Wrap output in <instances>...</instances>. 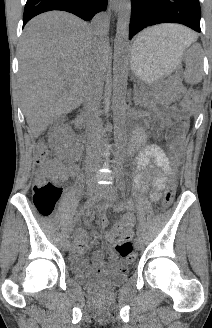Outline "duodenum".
I'll list each match as a JSON object with an SVG mask.
<instances>
[{
    "label": "duodenum",
    "instance_id": "duodenum-1",
    "mask_svg": "<svg viewBox=\"0 0 212 328\" xmlns=\"http://www.w3.org/2000/svg\"><path fill=\"white\" fill-rule=\"evenodd\" d=\"M142 140V135L141 134H137L134 138H133V144H138L140 143Z\"/></svg>",
    "mask_w": 212,
    "mask_h": 328
}]
</instances>
